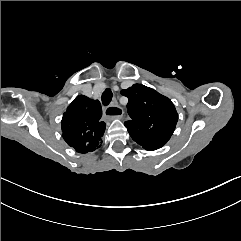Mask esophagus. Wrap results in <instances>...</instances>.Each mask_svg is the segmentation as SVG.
<instances>
[{
	"label": "esophagus",
	"mask_w": 241,
	"mask_h": 241,
	"mask_svg": "<svg viewBox=\"0 0 241 241\" xmlns=\"http://www.w3.org/2000/svg\"><path fill=\"white\" fill-rule=\"evenodd\" d=\"M103 114L107 119L121 118L123 115V109L115 103H111L104 109Z\"/></svg>",
	"instance_id": "1"
}]
</instances>
